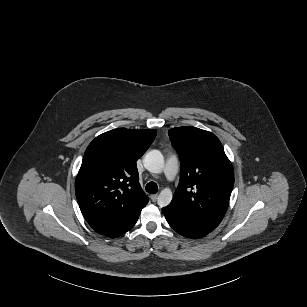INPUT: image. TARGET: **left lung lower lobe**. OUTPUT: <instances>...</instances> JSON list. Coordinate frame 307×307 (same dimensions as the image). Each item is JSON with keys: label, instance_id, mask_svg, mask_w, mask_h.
<instances>
[{"label": "left lung lower lobe", "instance_id": "obj_1", "mask_svg": "<svg viewBox=\"0 0 307 307\" xmlns=\"http://www.w3.org/2000/svg\"><path fill=\"white\" fill-rule=\"evenodd\" d=\"M169 225L179 234L188 238H200L207 235L210 230L198 226L179 214L175 207L168 205L162 208Z\"/></svg>", "mask_w": 307, "mask_h": 307}]
</instances>
